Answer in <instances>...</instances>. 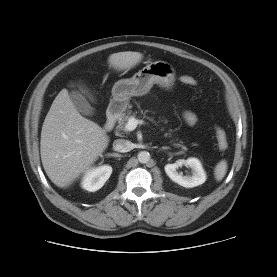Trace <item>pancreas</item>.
Returning <instances> with one entry per match:
<instances>
[{
    "label": "pancreas",
    "instance_id": "1",
    "mask_svg": "<svg viewBox=\"0 0 277 277\" xmlns=\"http://www.w3.org/2000/svg\"><path fill=\"white\" fill-rule=\"evenodd\" d=\"M132 111L131 110H127L126 112L122 113L119 118H118V128L119 129H123L124 126L126 125V123L128 122L129 118L132 117ZM167 135V134H166ZM174 146L176 147H181L182 149H186L185 146H183L182 144H177L175 143Z\"/></svg>",
    "mask_w": 277,
    "mask_h": 277
}]
</instances>
